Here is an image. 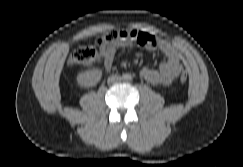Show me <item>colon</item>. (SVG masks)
I'll return each instance as SVG.
<instances>
[{"label": "colon", "mask_w": 243, "mask_h": 167, "mask_svg": "<svg viewBox=\"0 0 243 167\" xmlns=\"http://www.w3.org/2000/svg\"><path fill=\"white\" fill-rule=\"evenodd\" d=\"M125 37L126 35L123 31H109L96 39V47L102 49L115 46ZM96 47L84 46L77 49L70 56L69 65L73 68H82L98 62L100 56ZM179 79L182 83H185L188 80V75L186 73H182Z\"/></svg>", "instance_id": "colon-1"}]
</instances>
